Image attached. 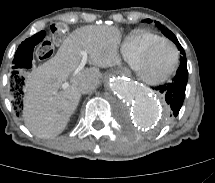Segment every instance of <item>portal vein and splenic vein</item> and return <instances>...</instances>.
Returning a JSON list of instances; mask_svg holds the SVG:
<instances>
[{"mask_svg": "<svg viewBox=\"0 0 215 183\" xmlns=\"http://www.w3.org/2000/svg\"><path fill=\"white\" fill-rule=\"evenodd\" d=\"M81 56H82V59H81V62L79 64V66L76 68V70L74 71V75L78 74L81 70L84 69L86 63H87V59H88V54L86 51H81ZM69 86V84L67 82H65L63 85H62V89H66L67 87Z\"/></svg>", "mask_w": 215, "mask_h": 183, "instance_id": "portal-vein-and-splenic-vein-1", "label": "portal vein and splenic vein"}]
</instances>
